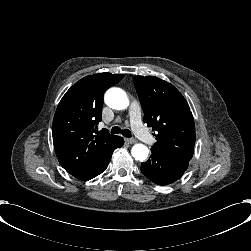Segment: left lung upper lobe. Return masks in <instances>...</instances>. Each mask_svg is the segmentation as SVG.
Masks as SVG:
<instances>
[{"label":"left lung upper lobe","instance_id":"5c2ea615","mask_svg":"<svg viewBox=\"0 0 251 251\" xmlns=\"http://www.w3.org/2000/svg\"><path fill=\"white\" fill-rule=\"evenodd\" d=\"M144 112V122L156 131L155 152L190 161L194 153L195 124L182 94L170 83L151 76L133 78Z\"/></svg>","mask_w":251,"mask_h":251}]
</instances>
